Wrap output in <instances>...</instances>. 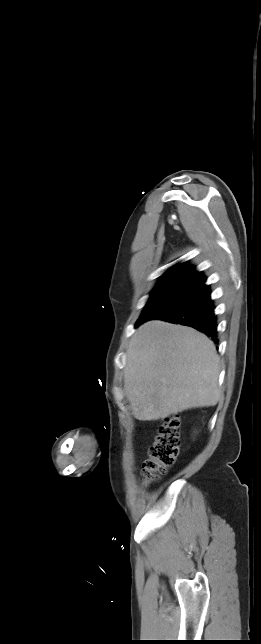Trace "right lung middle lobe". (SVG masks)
Here are the masks:
<instances>
[{"mask_svg": "<svg viewBox=\"0 0 261 644\" xmlns=\"http://www.w3.org/2000/svg\"><path fill=\"white\" fill-rule=\"evenodd\" d=\"M203 285L187 281L159 282L151 292L136 326L157 319L193 298Z\"/></svg>", "mask_w": 261, "mask_h": 644, "instance_id": "dd1d6c3e", "label": "right lung middle lobe"}]
</instances>
